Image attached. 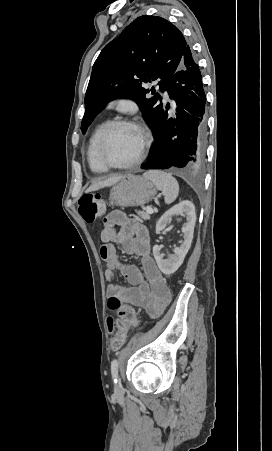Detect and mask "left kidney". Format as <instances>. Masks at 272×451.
Returning a JSON list of instances; mask_svg holds the SVG:
<instances>
[{
	"label": "left kidney",
	"instance_id": "obj_1",
	"mask_svg": "<svg viewBox=\"0 0 272 451\" xmlns=\"http://www.w3.org/2000/svg\"><path fill=\"white\" fill-rule=\"evenodd\" d=\"M186 216L187 224L182 227L184 241H182L180 247H175V253L170 255L169 259H163V253H161L159 245H153L154 257L157 261V265L165 275H171L174 271H177L178 267L182 265L183 259L190 249L191 241L193 239V231L196 222L195 206L189 200H183L180 204H176L173 208H170L168 212H165L158 220L156 224V233H161V229L169 224L172 216Z\"/></svg>",
	"mask_w": 272,
	"mask_h": 451
}]
</instances>
